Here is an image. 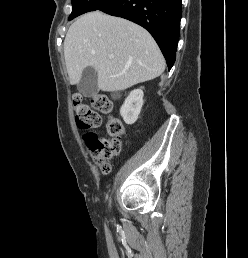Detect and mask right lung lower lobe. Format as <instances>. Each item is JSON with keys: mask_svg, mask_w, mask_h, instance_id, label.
<instances>
[{"mask_svg": "<svg viewBox=\"0 0 248 258\" xmlns=\"http://www.w3.org/2000/svg\"><path fill=\"white\" fill-rule=\"evenodd\" d=\"M98 10L144 27L160 47L169 70L172 68L179 39L181 0H113Z\"/></svg>", "mask_w": 248, "mask_h": 258, "instance_id": "obj_1", "label": "right lung lower lobe"}]
</instances>
